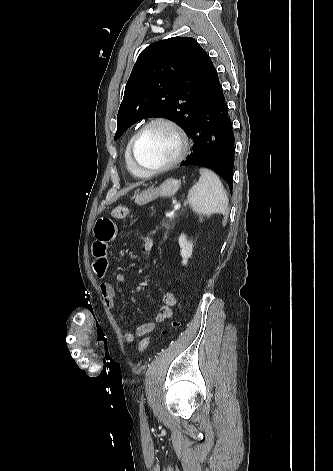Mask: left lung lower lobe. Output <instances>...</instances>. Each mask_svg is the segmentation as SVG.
Listing matches in <instances>:
<instances>
[{
	"mask_svg": "<svg viewBox=\"0 0 333 471\" xmlns=\"http://www.w3.org/2000/svg\"><path fill=\"white\" fill-rule=\"evenodd\" d=\"M192 152L181 166L199 165L218 173L233 189L234 136L217 71L208 85L187 133Z\"/></svg>",
	"mask_w": 333,
	"mask_h": 471,
	"instance_id": "left-lung-lower-lobe-1",
	"label": "left lung lower lobe"
}]
</instances>
